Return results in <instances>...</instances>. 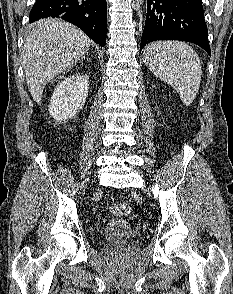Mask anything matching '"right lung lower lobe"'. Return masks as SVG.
I'll return each mask as SVG.
<instances>
[{
    "instance_id": "right-lung-lower-lobe-1",
    "label": "right lung lower lobe",
    "mask_w": 233,
    "mask_h": 294,
    "mask_svg": "<svg viewBox=\"0 0 233 294\" xmlns=\"http://www.w3.org/2000/svg\"><path fill=\"white\" fill-rule=\"evenodd\" d=\"M47 17L68 21L82 29L95 43L106 44V0H36L29 23Z\"/></svg>"
}]
</instances>
